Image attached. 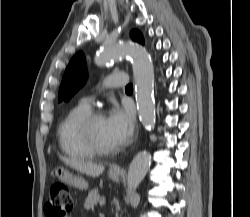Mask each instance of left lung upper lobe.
<instances>
[{
    "instance_id": "obj_1",
    "label": "left lung upper lobe",
    "mask_w": 250,
    "mask_h": 217,
    "mask_svg": "<svg viewBox=\"0 0 250 217\" xmlns=\"http://www.w3.org/2000/svg\"><path fill=\"white\" fill-rule=\"evenodd\" d=\"M131 38L133 41L144 44L142 34L138 30L131 32ZM86 62L82 52H79L73 56L70 60L68 67L64 73L60 88L58 101L70 100V98L82 87L86 81Z\"/></svg>"
}]
</instances>
